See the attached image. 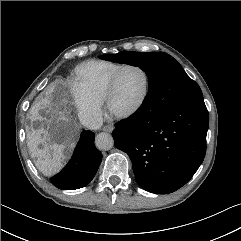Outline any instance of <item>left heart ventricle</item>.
I'll return each mask as SVG.
<instances>
[{
    "instance_id": "left-heart-ventricle-1",
    "label": "left heart ventricle",
    "mask_w": 241,
    "mask_h": 241,
    "mask_svg": "<svg viewBox=\"0 0 241 241\" xmlns=\"http://www.w3.org/2000/svg\"><path fill=\"white\" fill-rule=\"evenodd\" d=\"M145 77L141 70L129 68L118 78L112 97V107L116 112H123L133 107L142 95Z\"/></svg>"
}]
</instances>
